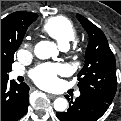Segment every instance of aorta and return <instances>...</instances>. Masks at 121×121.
I'll return each instance as SVG.
<instances>
[{"label":"aorta","mask_w":121,"mask_h":121,"mask_svg":"<svg viewBox=\"0 0 121 121\" xmlns=\"http://www.w3.org/2000/svg\"><path fill=\"white\" fill-rule=\"evenodd\" d=\"M35 56L39 59H49L58 54L56 45L50 41H40L34 48ZM68 107V101L65 98H57L54 101V109L58 112H63Z\"/></svg>","instance_id":"1"}]
</instances>
